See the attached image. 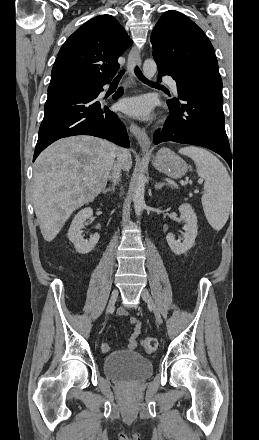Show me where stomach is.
<instances>
[{
	"label": "stomach",
	"mask_w": 259,
	"mask_h": 440,
	"mask_svg": "<svg viewBox=\"0 0 259 440\" xmlns=\"http://www.w3.org/2000/svg\"><path fill=\"white\" fill-rule=\"evenodd\" d=\"M152 164L158 171L171 178H181L187 172L185 161L168 148H161Z\"/></svg>",
	"instance_id": "0dacf381"
}]
</instances>
